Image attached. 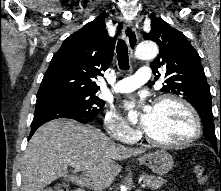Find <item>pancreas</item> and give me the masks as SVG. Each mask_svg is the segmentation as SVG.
<instances>
[{
  "instance_id": "1",
  "label": "pancreas",
  "mask_w": 221,
  "mask_h": 191,
  "mask_svg": "<svg viewBox=\"0 0 221 191\" xmlns=\"http://www.w3.org/2000/svg\"><path fill=\"white\" fill-rule=\"evenodd\" d=\"M142 180L145 186L152 189L161 188L166 183L165 179L148 174H144L142 176Z\"/></svg>"
}]
</instances>
